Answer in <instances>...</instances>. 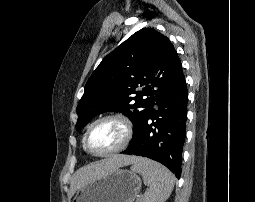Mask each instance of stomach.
Returning a JSON list of instances; mask_svg holds the SVG:
<instances>
[{
	"label": "stomach",
	"mask_w": 255,
	"mask_h": 202,
	"mask_svg": "<svg viewBox=\"0 0 255 202\" xmlns=\"http://www.w3.org/2000/svg\"><path fill=\"white\" fill-rule=\"evenodd\" d=\"M140 189V177L118 168L79 187L71 202H134Z\"/></svg>",
	"instance_id": "obj_1"
}]
</instances>
